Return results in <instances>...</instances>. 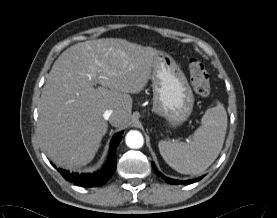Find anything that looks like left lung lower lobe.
<instances>
[{
  "label": "left lung lower lobe",
  "mask_w": 277,
  "mask_h": 218,
  "mask_svg": "<svg viewBox=\"0 0 277 218\" xmlns=\"http://www.w3.org/2000/svg\"><path fill=\"white\" fill-rule=\"evenodd\" d=\"M152 167L155 171V173L159 176H161L162 178H164L168 183L170 184H189V183H193L195 181H199L203 178V176L199 177V178H196V179H189V180H185V181H179V180H175V179H170V178H167L165 177L163 174H161L155 167L154 163H152Z\"/></svg>",
  "instance_id": "1"
}]
</instances>
